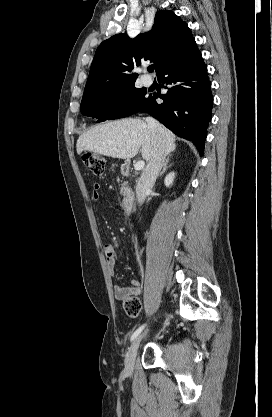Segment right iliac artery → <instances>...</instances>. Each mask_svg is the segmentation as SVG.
I'll list each match as a JSON object with an SVG mask.
<instances>
[{"label":"right iliac artery","instance_id":"obj_1","mask_svg":"<svg viewBox=\"0 0 272 417\" xmlns=\"http://www.w3.org/2000/svg\"><path fill=\"white\" fill-rule=\"evenodd\" d=\"M145 325L140 326L131 336V341L134 340L143 330Z\"/></svg>","mask_w":272,"mask_h":417}]
</instances>
